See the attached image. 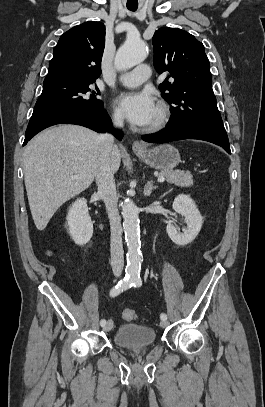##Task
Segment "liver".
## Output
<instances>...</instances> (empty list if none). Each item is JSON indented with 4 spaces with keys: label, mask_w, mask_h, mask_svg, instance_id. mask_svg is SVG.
<instances>
[{
    "label": "liver",
    "mask_w": 265,
    "mask_h": 407,
    "mask_svg": "<svg viewBox=\"0 0 265 407\" xmlns=\"http://www.w3.org/2000/svg\"><path fill=\"white\" fill-rule=\"evenodd\" d=\"M98 136L82 126L58 125L41 132L26 146L25 187L38 230H44L62 204L94 181L100 154ZM120 163V150L115 145L111 154L113 172Z\"/></svg>",
    "instance_id": "liver-1"
}]
</instances>
